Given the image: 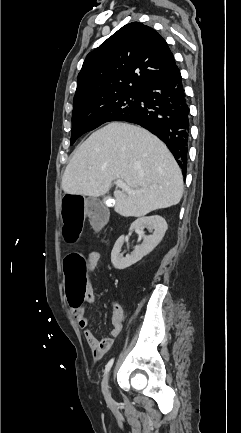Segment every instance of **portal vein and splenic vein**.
Returning <instances> with one entry per match:
<instances>
[{
  "instance_id": "obj_1",
  "label": "portal vein and splenic vein",
  "mask_w": 241,
  "mask_h": 433,
  "mask_svg": "<svg viewBox=\"0 0 241 433\" xmlns=\"http://www.w3.org/2000/svg\"><path fill=\"white\" fill-rule=\"evenodd\" d=\"M115 184L117 187L121 188L122 190L126 191L127 193H130V194L135 193V191L132 190L129 186H127V184L121 179L116 180Z\"/></svg>"
}]
</instances>
